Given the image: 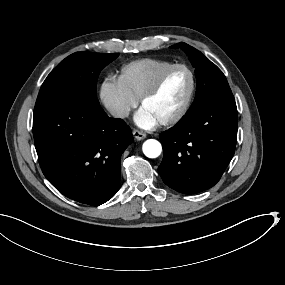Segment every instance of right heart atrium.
I'll list each match as a JSON object with an SVG mask.
<instances>
[{
	"mask_svg": "<svg viewBox=\"0 0 285 285\" xmlns=\"http://www.w3.org/2000/svg\"><path fill=\"white\" fill-rule=\"evenodd\" d=\"M100 96L106 110L117 120L126 119L138 104V98L120 84L113 72L103 76Z\"/></svg>",
	"mask_w": 285,
	"mask_h": 285,
	"instance_id": "right-heart-atrium-1",
	"label": "right heart atrium"
}]
</instances>
